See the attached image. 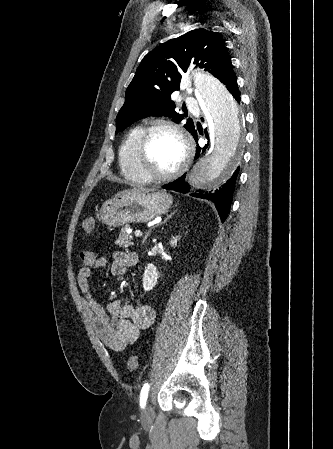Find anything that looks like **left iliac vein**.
Wrapping results in <instances>:
<instances>
[{
  "instance_id": "1",
  "label": "left iliac vein",
  "mask_w": 333,
  "mask_h": 449,
  "mask_svg": "<svg viewBox=\"0 0 333 449\" xmlns=\"http://www.w3.org/2000/svg\"><path fill=\"white\" fill-rule=\"evenodd\" d=\"M153 416V408L147 403L146 407L141 411V419L143 421H150Z\"/></svg>"
}]
</instances>
